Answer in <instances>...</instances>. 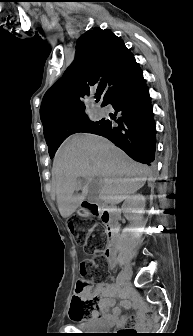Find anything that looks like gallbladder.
I'll list each match as a JSON object with an SVG mask.
<instances>
[{
  "label": "gallbladder",
  "instance_id": "bac80fb5",
  "mask_svg": "<svg viewBox=\"0 0 193 336\" xmlns=\"http://www.w3.org/2000/svg\"><path fill=\"white\" fill-rule=\"evenodd\" d=\"M93 197V194H90L89 198L91 199Z\"/></svg>",
  "mask_w": 193,
  "mask_h": 336
}]
</instances>
